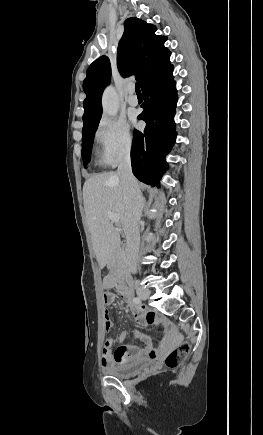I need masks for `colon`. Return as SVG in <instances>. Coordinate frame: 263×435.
Returning <instances> with one entry per match:
<instances>
[{
    "instance_id": "5ec220e1",
    "label": "colon",
    "mask_w": 263,
    "mask_h": 435,
    "mask_svg": "<svg viewBox=\"0 0 263 435\" xmlns=\"http://www.w3.org/2000/svg\"><path fill=\"white\" fill-rule=\"evenodd\" d=\"M109 298V295L107 292H105L103 294V299L107 300ZM105 341L103 343V348L104 350H113L114 348V340L112 339L111 335H106L105 337ZM189 352V344L188 343H184L182 346H180L179 348L172 350L171 352H169L165 359H164V363L167 367L169 368H175L177 367L179 364H181L187 354Z\"/></svg>"
}]
</instances>
